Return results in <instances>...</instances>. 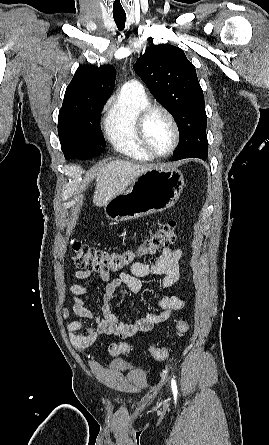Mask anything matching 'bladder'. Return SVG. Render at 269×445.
Wrapping results in <instances>:
<instances>
[{
    "mask_svg": "<svg viewBox=\"0 0 269 445\" xmlns=\"http://www.w3.org/2000/svg\"><path fill=\"white\" fill-rule=\"evenodd\" d=\"M108 369L116 372H126L131 370V367L124 362L112 361L108 364Z\"/></svg>",
    "mask_w": 269,
    "mask_h": 445,
    "instance_id": "obj_1",
    "label": "bladder"
}]
</instances>
